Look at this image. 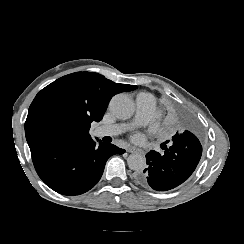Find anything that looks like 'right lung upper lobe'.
<instances>
[{
    "instance_id": "1",
    "label": "right lung upper lobe",
    "mask_w": 244,
    "mask_h": 244,
    "mask_svg": "<svg viewBox=\"0 0 244 244\" xmlns=\"http://www.w3.org/2000/svg\"><path fill=\"white\" fill-rule=\"evenodd\" d=\"M136 85L114 83L93 72H76L63 76L42 89L33 100L25 122L29 147L51 142H76L90 138L93 121L99 122L110 99ZM65 114L66 130L56 134L37 131V121L48 115Z\"/></svg>"
}]
</instances>
